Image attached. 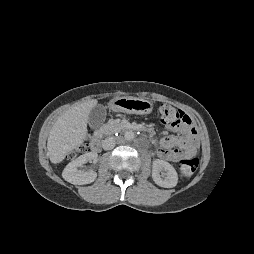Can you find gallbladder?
<instances>
[{
  "mask_svg": "<svg viewBox=\"0 0 254 254\" xmlns=\"http://www.w3.org/2000/svg\"><path fill=\"white\" fill-rule=\"evenodd\" d=\"M106 119V108L103 105H96L88 116V124L91 128H98Z\"/></svg>",
  "mask_w": 254,
  "mask_h": 254,
  "instance_id": "gallbladder-1",
  "label": "gallbladder"
}]
</instances>
